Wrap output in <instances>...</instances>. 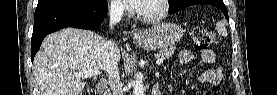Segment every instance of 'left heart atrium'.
Returning a JSON list of instances; mask_svg holds the SVG:
<instances>
[{
  "label": "left heart atrium",
  "instance_id": "left-heart-atrium-1",
  "mask_svg": "<svg viewBox=\"0 0 277 95\" xmlns=\"http://www.w3.org/2000/svg\"><path fill=\"white\" fill-rule=\"evenodd\" d=\"M145 0H121L130 9H139Z\"/></svg>",
  "mask_w": 277,
  "mask_h": 95
}]
</instances>
